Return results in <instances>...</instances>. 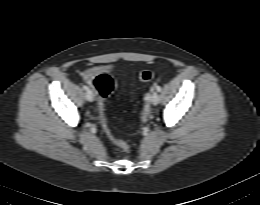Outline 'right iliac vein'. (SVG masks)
I'll use <instances>...</instances> for the list:
<instances>
[{"instance_id":"63e3f726","label":"right iliac vein","mask_w":260,"mask_h":205,"mask_svg":"<svg viewBox=\"0 0 260 205\" xmlns=\"http://www.w3.org/2000/svg\"><path fill=\"white\" fill-rule=\"evenodd\" d=\"M85 98H86V100H88L90 102L94 101V94H93V92L90 91V90L87 91L86 94H85Z\"/></svg>"}]
</instances>
